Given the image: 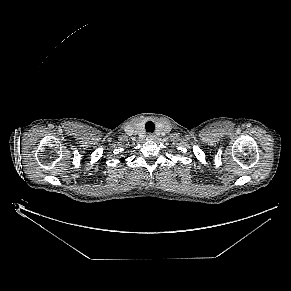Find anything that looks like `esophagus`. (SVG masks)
Returning <instances> with one entry per match:
<instances>
[{
  "instance_id": "esophagus-1",
  "label": "esophagus",
  "mask_w": 291,
  "mask_h": 291,
  "mask_svg": "<svg viewBox=\"0 0 291 291\" xmlns=\"http://www.w3.org/2000/svg\"><path fill=\"white\" fill-rule=\"evenodd\" d=\"M148 139L149 140H155L156 139V136L154 134H152V133H149Z\"/></svg>"
}]
</instances>
